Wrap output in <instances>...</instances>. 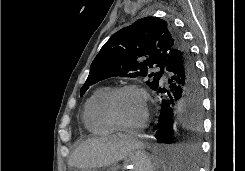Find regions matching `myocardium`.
<instances>
[{
	"label": "myocardium",
	"instance_id": "1",
	"mask_svg": "<svg viewBox=\"0 0 245 171\" xmlns=\"http://www.w3.org/2000/svg\"><path fill=\"white\" fill-rule=\"evenodd\" d=\"M126 91L139 92L140 94L143 95V97L146 100V113H145L144 119L136 125H127L123 123L119 119L116 113V109H115L116 99L120 94ZM103 107H104V112H105L106 117L117 129L122 130V131H138L144 128L148 123V120L150 117L151 99H150L149 93L147 92L145 88L137 84L129 83V84L118 86L110 90V92L107 94L104 100Z\"/></svg>",
	"mask_w": 245,
	"mask_h": 171
}]
</instances>
